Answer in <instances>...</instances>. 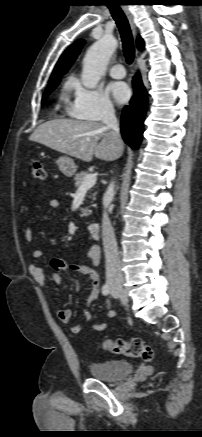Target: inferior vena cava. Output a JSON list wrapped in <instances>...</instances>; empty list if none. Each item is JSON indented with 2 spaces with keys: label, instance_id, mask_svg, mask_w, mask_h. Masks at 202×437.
<instances>
[{
  "label": "inferior vena cava",
  "instance_id": "obj_1",
  "mask_svg": "<svg viewBox=\"0 0 202 437\" xmlns=\"http://www.w3.org/2000/svg\"><path fill=\"white\" fill-rule=\"evenodd\" d=\"M102 121L107 129L111 131L113 138L118 144V156H120L123 150V144L119 124L113 107L110 106L105 108L102 115ZM114 194V183L112 182L108 186L104 195V212L102 218V239L106 259V280L108 283L122 282L123 280L117 242L106 210L108 204L112 201Z\"/></svg>",
  "mask_w": 202,
  "mask_h": 437
}]
</instances>
